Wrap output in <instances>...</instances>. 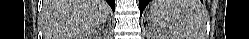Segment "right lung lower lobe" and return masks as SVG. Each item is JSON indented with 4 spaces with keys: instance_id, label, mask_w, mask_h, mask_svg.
Segmentation results:
<instances>
[{
    "instance_id": "obj_1",
    "label": "right lung lower lobe",
    "mask_w": 249,
    "mask_h": 39,
    "mask_svg": "<svg viewBox=\"0 0 249 39\" xmlns=\"http://www.w3.org/2000/svg\"><path fill=\"white\" fill-rule=\"evenodd\" d=\"M108 4L111 6L112 10H115V0H107Z\"/></svg>"
}]
</instances>
